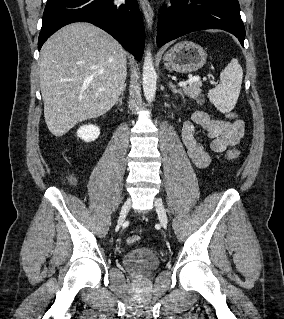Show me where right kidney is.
Returning a JSON list of instances; mask_svg holds the SVG:
<instances>
[{
    "instance_id": "obj_1",
    "label": "right kidney",
    "mask_w": 284,
    "mask_h": 319,
    "mask_svg": "<svg viewBox=\"0 0 284 319\" xmlns=\"http://www.w3.org/2000/svg\"><path fill=\"white\" fill-rule=\"evenodd\" d=\"M100 129L92 124L83 125L77 131V136L85 142H91L98 138Z\"/></svg>"
}]
</instances>
